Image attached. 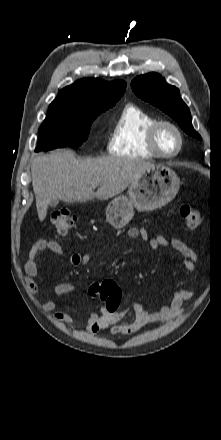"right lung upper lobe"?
I'll return each instance as SVG.
<instances>
[{
  "instance_id": "right-lung-upper-lobe-1",
  "label": "right lung upper lobe",
  "mask_w": 221,
  "mask_h": 440,
  "mask_svg": "<svg viewBox=\"0 0 221 440\" xmlns=\"http://www.w3.org/2000/svg\"><path fill=\"white\" fill-rule=\"evenodd\" d=\"M126 83L122 80L107 82L98 78L76 81L62 89L50 105L66 107H112L123 96Z\"/></svg>"
}]
</instances>
